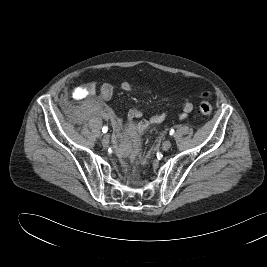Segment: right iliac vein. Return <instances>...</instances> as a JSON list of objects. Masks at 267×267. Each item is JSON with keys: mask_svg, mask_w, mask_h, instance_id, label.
Segmentation results:
<instances>
[{"mask_svg": "<svg viewBox=\"0 0 267 267\" xmlns=\"http://www.w3.org/2000/svg\"><path fill=\"white\" fill-rule=\"evenodd\" d=\"M102 143L104 146H107L109 144V135L105 134L102 138Z\"/></svg>", "mask_w": 267, "mask_h": 267, "instance_id": "right-iliac-vein-1", "label": "right iliac vein"}]
</instances>
